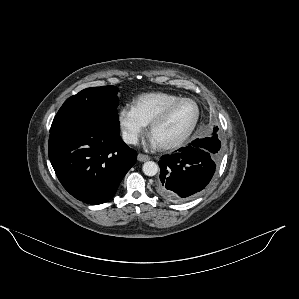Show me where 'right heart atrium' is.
Masks as SVG:
<instances>
[{
  "label": "right heart atrium",
  "mask_w": 299,
  "mask_h": 299,
  "mask_svg": "<svg viewBox=\"0 0 299 299\" xmlns=\"http://www.w3.org/2000/svg\"><path fill=\"white\" fill-rule=\"evenodd\" d=\"M118 125L128 144H136L146 130V124L137 116L132 106H125L119 111Z\"/></svg>",
  "instance_id": "1"
}]
</instances>
